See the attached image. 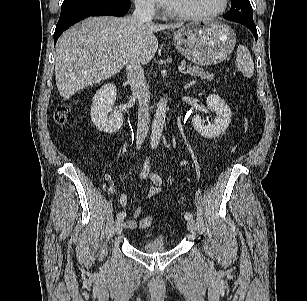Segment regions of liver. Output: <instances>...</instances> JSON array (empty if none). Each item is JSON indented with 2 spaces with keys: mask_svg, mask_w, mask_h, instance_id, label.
Returning a JSON list of instances; mask_svg holds the SVG:
<instances>
[{
  "mask_svg": "<svg viewBox=\"0 0 307 301\" xmlns=\"http://www.w3.org/2000/svg\"><path fill=\"white\" fill-rule=\"evenodd\" d=\"M182 23H139L133 16L89 17L58 39L55 56L56 85L65 99L89 85L120 72L131 55L149 63L158 49L154 33L176 29Z\"/></svg>",
  "mask_w": 307,
  "mask_h": 301,
  "instance_id": "6515ba94",
  "label": "liver"
}]
</instances>
